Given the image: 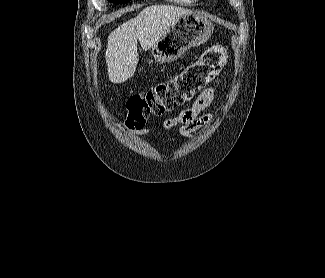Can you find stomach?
<instances>
[{"instance_id":"0dacf381","label":"stomach","mask_w":325,"mask_h":278,"mask_svg":"<svg viewBox=\"0 0 325 278\" xmlns=\"http://www.w3.org/2000/svg\"><path fill=\"white\" fill-rule=\"evenodd\" d=\"M214 26L206 17L192 13L178 18L151 48L155 61H175L188 49L204 44L213 34Z\"/></svg>"}]
</instances>
